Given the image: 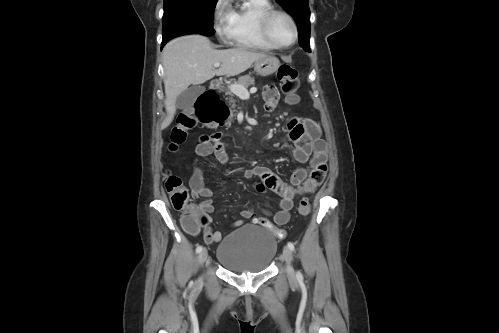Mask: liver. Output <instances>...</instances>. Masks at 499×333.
<instances>
[{
  "mask_svg": "<svg viewBox=\"0 0 499 333\" xmlns=\"http://www.w3.org/2000/svg\"><path fill=\"white\" fill-rule=\"evenodd\" d=\"M265 53L237 47L216 50L209 39L202 35H186L172 39L163 50L165 71V110L167 116L161 129L167 128L176 114V99L190 85H200L214 76H235L251 67ZM221 66L214 68V63Z\"/></svg>",
  "mask_w": 499,
  "mask_h": 333,
  "instance_id": "6515ba94",
  "label": "liver"
}]
</instances>
